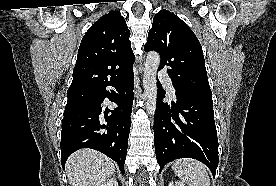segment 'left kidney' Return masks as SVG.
<instances>
[{"mask_svg": "<svg viewBox=\"0 0 276 186\" xmlns=\"http://www.w3.org/2000/svg\"><path fill=\"white\" fill-rule=\"evenodd\" d=\"M168 186H186V185L183 182H180V181H175V185H174V183L172 181V182L169 183Z\"/></svg>", "mask_w": 276, "mask_h": 186, "instance_id": "5707ae66", "label": "left kidney"}]
</instances>
